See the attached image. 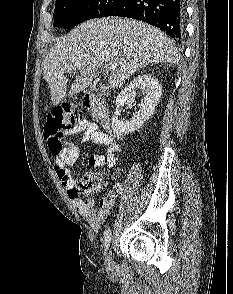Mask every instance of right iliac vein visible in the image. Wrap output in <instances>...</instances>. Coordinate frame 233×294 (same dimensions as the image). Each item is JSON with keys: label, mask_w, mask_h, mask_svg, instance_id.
<instances>
[{"label": "right iliac vein", "mask_w": 233, "mask_h": 294, "mask_svg": "<svg viewBox=\"0 0 233 294\" xmlns=\"http://www.w3.org/2000/svg\"><path fill=\"white\" fill-rule=\"evenodd\" d=\"M104 256H105V266H106L107 270H112L114 268V262H113V258H112V252L109 247L105 251Z\"/></svg>", "instance_id": "63e3f726"}]
</instances>
